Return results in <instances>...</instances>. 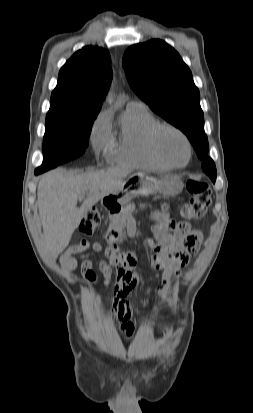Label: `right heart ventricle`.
Listing matches in <instances>:
<instances>
[{
	"instance_id": "obj_1",
	"label": "right heart ventricle",
	"mask_w": 253,
	"mask_h": 413,
	"mask_svg": "<svg viewBox=\"0 0 253 413\" xmlns=\"http://www.w3.org/2000/svg\"><path fill=\"white\" fill-rule=\"evenodd\" d=\"M158 123L143 106H128L120 115L118 132L111 138L109 159L112 163L148 169H166L151 153L148 132Z\"/></svg>"
}]
</instances>
